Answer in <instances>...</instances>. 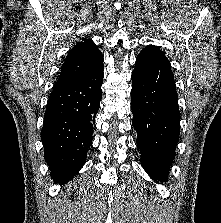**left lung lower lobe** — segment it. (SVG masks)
Instances as JSON below:
<instances>
[{
	"label": "left lung lower lobe",
	"mask_w": 221,
	"mask_h": 223,
	"mask_svg": "<svg viewBox=\"0 0 221 223\" xmlns=\"http://www.w3.org/2000/svg\"><path fill=\"white\" fill-rule=\"evenodd\" d=\"M131 109L141 163L152 179L167 181L179 141L180 112L171 65L156 46L145 47L132 73Z\"/></svg>",
	"instance_id": "obj_1"
}]
</instances>
